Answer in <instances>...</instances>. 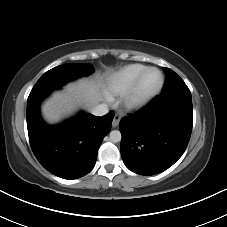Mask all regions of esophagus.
<instances>
[{"label":"esophagus","instance_id":"34e87169","mask_svg":"<svg viewBox=\"0 0 227 227\" xmlns=\"http://www.w3.org/2000/svg\"><path fill=\"white\" fill-rule=\"evenodd\" d=\"M119 122H120V116L116 114L112 121V127L116 128L119 125Z\"/></svg>","mask_w":227,"mask_h":227}]
</instances>
